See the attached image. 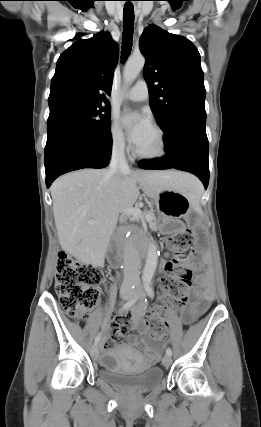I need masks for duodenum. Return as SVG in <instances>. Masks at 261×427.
I'll use <instances>...</instances> for the list:
<instances>
[{
  "label": "duodenum",
  "mask_w": 261,
  "mask_h": 427,
  "mask_svg": "<svg viewBox=\"0 0 261 427\" xmlns=\"http://www.w3.org/2000/svg\"><path fill=\"white\" fill-rule=\"evenodd\" d=\"M120 247V236H115L112 239L111 249L108 255V262L113 268H118L121 266L122 259L119 253Z\"/></svg>",
  "instance_id": "obj_1"
}]
</instances>
